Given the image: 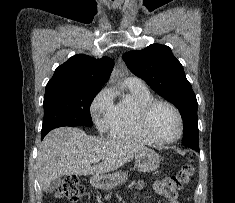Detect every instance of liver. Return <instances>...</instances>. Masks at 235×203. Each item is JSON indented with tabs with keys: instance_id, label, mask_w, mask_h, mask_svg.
Instances as JSON below:
<instances>
[{
	"instance_id": "liver-1",
	"label": "liver",
	"mask_w": 235,
	"mask_h": 203,
	"mask_svg": "<svg viewBox=\"0 0 235 203\" xmlns=\"http://www.w3.org/2000/svg\"><path fill=\"white\" fill-rule=\"evenodd\" d=\"M145 149L144 145L129 140L89 136L79 128H57L46 135L39 147L37 178L41 189L46 190L64 175L114 171ZM96 158L100 161L97 164L93 162Z\"/></svg>"
}]
</instances>
